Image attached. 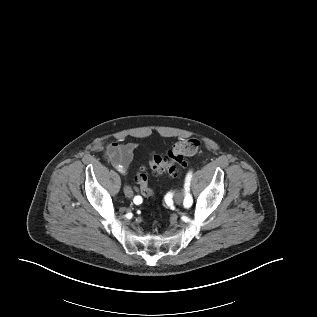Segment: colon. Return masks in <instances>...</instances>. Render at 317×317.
I'll return each mask as SVG.
<instances>
[{
    "label": "colon",
    "mask_w": 317,
    "mask_h": 317,
    "mask_svg": "<svg viewBox=\"0 0 317 317\" xmlns=\"http://www.w3.org/2000/svg\"><path fill=\"white\" fill-rule=\"evenodd\" d=\"M200 142L196 139H184L176 142L166 155H152L148 161L149 167L156 175L168 174L174 176L185 157L194 155L199 150ZM135 181L146 197L154 196V190L148 184L145 167H141L135 175Z\"/></svg>",
    "instance_id": "5ec220e1"
}]
</instances>
